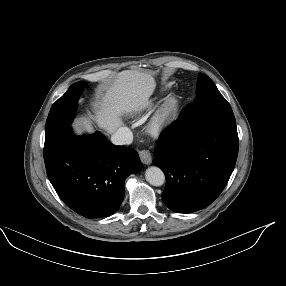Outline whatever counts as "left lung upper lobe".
<instances>
[{
  "label": "left lung upper lobe",
  "mask_w": 286,
  "mask_h": 286,
  "mask_svg": "<svg viewBox=\"0 0 286 286\" xmlns=\"http://www.w3.org/2000/svg\"><path fill=\"white\" fill-rule=\"evenodd\" d=\"M180 118L184 123L209 120L236 123L229 103L212 80L201 73L198 77L196 98L182 110Z\"/></svg>",
  "instance_id": "1"
}]
</instances>
